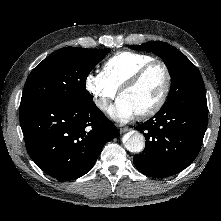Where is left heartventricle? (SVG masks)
Segmentation results:
<instances>
[{
	"label": "left heart ventricle",
	"instance_id": "b2bd125f",
	"mask_svg": "<svg viewBox=\"0 0 221 221\" xmlns=\"http://www.w3.org/2000/svg\"><path fill=\"white\" fill-rule=\"evenodd\" d=\"M164 69L155 65L151 67L132 88L126 90L123 97L139 113L149 109L160 98L165 86Z\"/></svg>",
	"mask_w": 221,
	"mask_h": 221
}]
</instances>
